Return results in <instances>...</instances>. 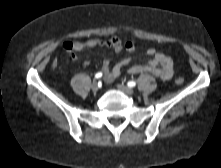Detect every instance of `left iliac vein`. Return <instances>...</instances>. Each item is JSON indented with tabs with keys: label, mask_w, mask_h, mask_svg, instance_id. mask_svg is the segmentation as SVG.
<instances>
[{
	"label": "left iliac vein",
	"mask_w": 221,
	"mask_h": 168,
	"mask_svg": "<svg viewBox=\"0 0 221 168\" xmlns=\"http://www.w3.org/2000/svg\"><path fill=\"white\" fill-rule=\"evenodd\" d=\"M118 88L124 92L125 94H128V95H132L134 93V90L131 88V87H128L124 84H119L118 85Z\"/></svg>",
	"instance_id": "left-iliac-vein-1"
}]
</instances>
